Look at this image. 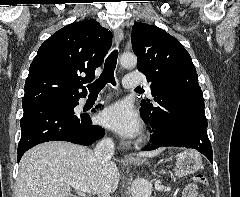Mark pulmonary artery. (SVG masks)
Returning <instances> with one entry per match:
<instances>
[{
	"label": "pulmonary artery",
	"mask_w": 240,
	"mask_h": 197,
	"mask_svg": "<svg viewBox=\"0 0 240 197\" xmlns=\"http://www.w3.org/2000/svg\"><path fill=\"white\" fill-rule=\"evenodd\" d=\"M142 82L140 73L129 74L125 77L123 86L127 89H133Z\"/></svg>",
	"instance_id": "obj_1"
}]
</instances>
